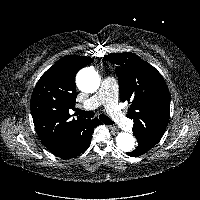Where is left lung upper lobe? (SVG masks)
<instances>
[{"mask_svg":"<svg viewBox=\"0 0 200 200\" xmlns=\"http://www.w3.org/2000/svg\"><path fill=\"white\" fill-rule=\"evenodd\" d=\"M104 60L118 65L120 99L130 103L133 132L159 141L170 116V94L162 75L131 52L112 53Z\"/></svg>","mask_w":200,"mask_h":200,"instance_id":"5c2ea615","label":"left lung upper lobe"}]
</instances>
